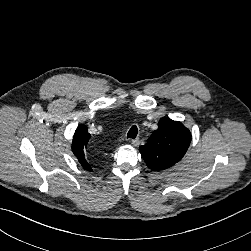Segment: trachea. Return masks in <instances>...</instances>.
I'll return each instance as SVG.
<instances>
[{"mask_svg": "<svg viewBox=\"0 0 251 251\" xmlns=\"http://www.w3.org/2000/svg\"><path fill=\"white\" fill-rule=\"evenodd\" d=\"M137 134H138V128L136 125H133L127 134V138L135 139Z\"/></svg>", "mask_w": 251, "mask_h": 251, "instance_id": "3493384b", "label": "trachea"}]
</instances>
